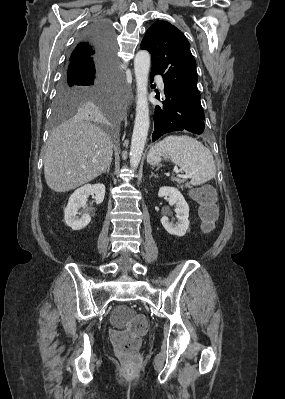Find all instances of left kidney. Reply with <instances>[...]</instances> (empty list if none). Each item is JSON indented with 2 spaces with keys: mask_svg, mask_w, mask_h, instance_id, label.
<instances>
[{
  "mask_svg": "<svg viewBox=\"0 0 285 399\" xmlns=\"http://www.w3.org/2000/svg\"><path fill=\"white\" fill-rule=\"evenodd\" d=\"M159 197H168L169 204L175 205L176 217L178 219V223L174 226L169 222L168 217L163 216L161 218V223L165 230L171 234L178 237H182L186 234L189 228V206L185 201L181 192L174 187H161L158 192Z\"/></svg>",
  "mask_w": 285,
  "mask_h": 399,
  "instance_id": "1",
  "label": "left kidney"
}]
</instances>
